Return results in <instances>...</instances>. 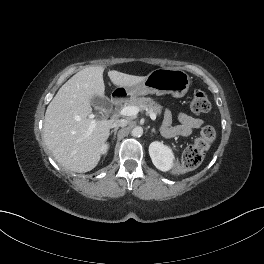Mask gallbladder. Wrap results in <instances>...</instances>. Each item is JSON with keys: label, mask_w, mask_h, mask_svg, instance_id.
<instances>
[{"label": "gallbladder", "mask_w": 264, "mask_h": 264, "mask_svg": "<svg viewBox=\"0 0 264 264\" xmlns=\"http://www.w3.org/2000/svg\"><path fill=\"white\" fill-rule=\"evenodd\" d=\"M91 104L97 108H106L110 105V102H109V99L107 97L95 96L92 99Z\"/></svg>", "instance_id": "bac80fb5"}]
</instances>
